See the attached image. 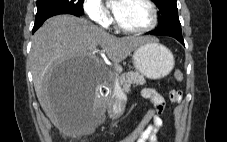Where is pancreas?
<instances>
[{"instance_id":"cf45deb5","label":"pancreas","mask_w":227,"mask_h":142,"mask_svg":"<svg viewBox=\"0 0 227 142\" xmlns=\"http://www.w3.org/2000/svg\"><path fill=\"white\" fill-rule=\"evenodd\" d=\"M115 80L119 82L122 91L125 93L129 92L132 84L144 85L146 82L144 75L140 74L138 71L123 73L120 76H116Z\"/></svg>"}]
</instances>
